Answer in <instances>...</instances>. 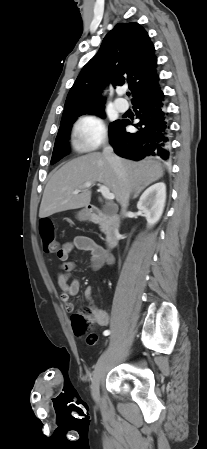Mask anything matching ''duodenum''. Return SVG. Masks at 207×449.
<instances>
[{"instance_id": "410a0bca", "label": "duodenum", "mask_w": 207, "mask_h": 449, "mask_svg": "<svg viewBox=\"0 0 207 449\" xmlns=\"http://www.w3.org/2000/svg\"><path fill=\"white\" fill-rule=\"evenodd\" d=\"M86 216L89 222L105 226L106 245L108 248H113L120 239V217L114 213H104L99 207L94 205L88 206Z\"/></svg>"}]
</instances>
